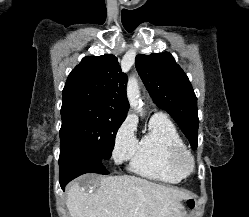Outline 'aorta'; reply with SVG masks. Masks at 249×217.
Listing matches in <instances>:
<instances>
[{
	"label": "aorta",
	"instance_id": "aorta-1",
	"mask_svg": "<svg viewBox=\"0 0 249 217\" xmlns=\"http://www.w3.org/2000/svg\"><path fill=\"white\" fill-rule=\"evenodd\" d=\"M127 98L130 104V107L134 109L136 112L143 114L142 110V100L140 97V89L138 80L135 76L129 78L127 84Z\"/></svg>",
	"mask_w": 249,
	"mask_h": 217
}]
</instances>
